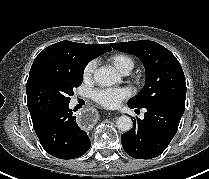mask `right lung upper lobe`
Here are the masks:
<instances>
[{
    "label": "right lung upper lobe",
    "instance_id": "right-lung-upper-lobe-1",
    "mask_svg": "<svg viewBox=\"0 0 209 179\" xmlns=\"http://www.w3.org/2000/svg\"><path fill=\"white\" fill-rule=\"evenodd\" d=\"M106 44L89 45L71 41H61L45 48L34 60L30 74L41 68L58 70L87 65L92 59L110 51Z\"/></svg>",
    "mask_w": 209,
    "mask_h": 179
}]
</instances>
